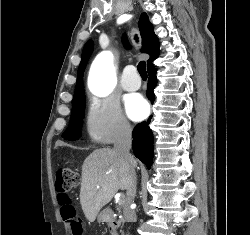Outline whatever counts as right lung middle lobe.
I'll return each instance as SVG.
<instances>
[{
  "label": "right lung middle lobe",
  "instance_id": "dd1d6c3e",
  "mask_svg": "<svg viewBox=\"0 0 250 235\" xmlns=\"http://www.w3.org/2000/svg\"><path fill=\"white\" fill-rule=\"evenodd\" d=\"M85 96L84 93L72 100V115L68 128L63 133L62 137L66 140H74L80 137L81 125L84 117Z\"/></svg>",
  "mask_w": 250,
  "mask_h": 235
}]
</instances>
